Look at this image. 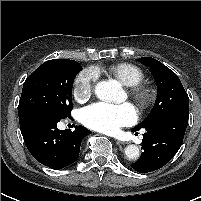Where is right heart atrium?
<instances>
[{"label":"right heart atrium","instance_id":"1","mask_svg":"<svg viewBox=\"0 0 201 201\" xmlns=\"http://www.w3.org/2000/svg\"><path fill=\"white\" fill-rule=\"evenodd\" d=\"M98 79V71L89 67L81 71L75 81L73 95L78 101H86L93 94L95 83Z\"/></svg>","mask_w":201,"mask_h":201}]
</instances>
